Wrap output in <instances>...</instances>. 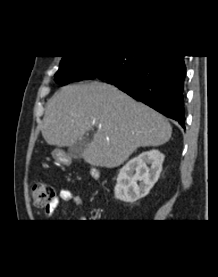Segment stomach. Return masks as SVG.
<instances>
[{"label":"stomach","instance_id":"stomach-1","mask_svg":"<svg viewBox=\"0 0 218 277\" xmlns=\"http://www.w3.org/2000/svg\"><path fill=\"white\" fill-rule=\"evenodd\" d=\"M52 156L54 159H56L58 162H61V163H67V161H68L64 152L60 149L53 150Z\"/></svg>","mask_w":218,"mask_h":277}]
</instances>
